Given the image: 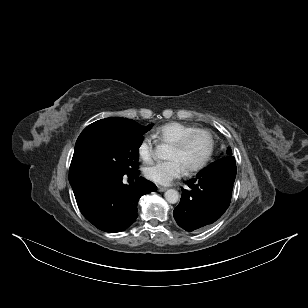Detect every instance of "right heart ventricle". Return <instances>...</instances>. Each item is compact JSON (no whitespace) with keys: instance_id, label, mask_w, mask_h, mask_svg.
<instances>
[{"instance_id":"1","label":"right heart ventricle","mask_w":308,"mask_h":308,"mask_svg":"<svg viewBox=\"0 0 308 308\" xmlns=\"http://www.w3.org/2000/svg\"><path fill=\"white\" fill-rule=\"evenodd\" d=\"M198 127L182 122H168L156 128L153 131V137L160 144L171 145L178 141L181 137Z\"/></svg>"}]
</instances>
